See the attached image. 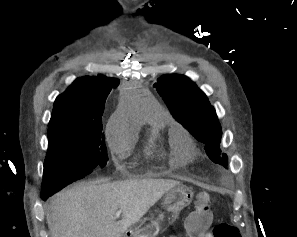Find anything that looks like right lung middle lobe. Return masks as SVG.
Returning <instances> with one entry per match:
<instances>
[{
  "label": "right lung middle lobe",
  "instance_id": "right-lung-middle-lobe-1",
  "mask_svg": "<svg viewBox=\"0 0 297 237\" xmlns=\"http://www.w3.org/2000/svg\"><path fill=\"white\" fill-rule=\"evenodd\" d=\"M42 193H56L108 160L102 123H62L48 129Z\"/></svg>",
  "mask_w": 297,
  "mask_h": 237
}]
</instances>
